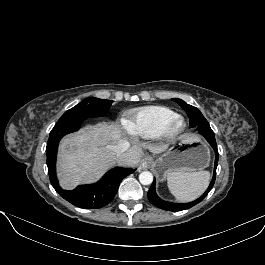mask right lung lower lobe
Segmentation results:
<instances>
[{"label": "right lung lower lobe", "instance_id": "1", "mask_svg": "<svg viewBox=\"0 0 265 265\" xmlns=\"http://www.w3.org/2000/svg\"><path fill=\"white\" fill-rule=\"evenodd\" d=\"M84 120L85 118L76 117L55 124L46 147L47 167L50 182L62 198L80 208L97 209L107 205L114 198L120 182L135 170L116 167L108 171L95 184L80 185L73 190L62 189L56 176V155L59 141L63 136L77 131Z\"/></svg>", "mask_w": 265, "mask_h": 265}]
</instances>
